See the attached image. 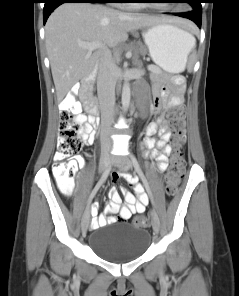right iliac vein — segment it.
Here are the masks:
<instances>
[{"instance_id":"obj_1","label":"right iliac vein","mask_w":239,"mask_h":296,"mask_svg":"<svg viewBox=\"0 0 239 296\" xmlns=\"http://www.w3.org/2000/svg\"><path fill=\"white\" fill-rule=\"evenodd\" d=\"M110 156L108 153H103L101 155L100 158V163H99V168L101 171H105L109 164H110ZM89 223H90V211L89 209L87 211H85L83 217H82V221H81V229H82V234L86 235L88 227H89Z\"/></svg>"}]
</instances>
